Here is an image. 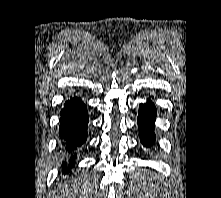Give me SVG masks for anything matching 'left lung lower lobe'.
Returning a JSON list of instances; mask_svg holds the SVG:
<instances>
[{"instance_id":"left-lung-lower-lobe-1","label":"left lung lower lobe","mask_w":221,"mask_h":198,"mask_svg":"<svg viewBox=\"0 0 221 198\" xmlns=\"http://www.w3.org/2000/svg\"><path fill=\"white\" fill-rule=\"evenodd\" d=\"M156 116V107L151 102L140 105L138 114V127L140 140L146 147L151 146L155 142L154 127Z\"/></svg>"}]
</instances>
